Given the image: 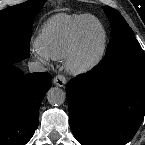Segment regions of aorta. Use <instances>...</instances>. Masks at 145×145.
<instances>
[{
  "label": "aorta",
  "instance_id": "aorta-1",
  "mask_svg": "<svg viewBox=\"0 0 145 145\" xmlns=\"http://www.w3.org/2000/svg\"><path fill=\"white\" fill-rule=\"evenodd\" d=\"M66 93L60 88H51L47 92V100L53 106H60L65 102Z\"/></svg>",
  "mask_w": 145,
  "mask_h": 145
}]
</instances>
